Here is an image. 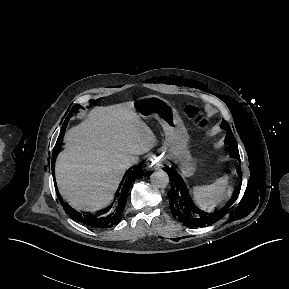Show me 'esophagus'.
Segmentation results:
<instances>
[{
    "mask_svg": "<svg viewBox=\"0 0 289 289\" xmlns=\"http://www.w3.org/2000/svg\"><path fill=\"white\" fill-rule=\"evenodd\" d=\"M147 161L148 165L154 169L161 166V162L155 156H150Z\"/></svg>",
    "mask_w": 289,
    "mask_h": 289,
    "instance_id": "1",
    "label": "esophagus"
}]
</instances>
